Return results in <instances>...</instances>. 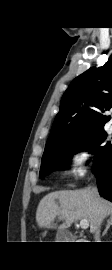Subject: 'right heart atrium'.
<instances>
[{
    "mask_svg": "<svg viewBox=\"0 0 112 270\" xmlns=\"http://www.w3.org/2000/svg\"><path fill=\"white\" fill-rule=\"evenodd\" d=\"M92 154L84 147L73 149L67 156L65 169L67 174L73 179H80L88 171Z\"/></svg>",
    "mask_w": 112,
    "mask_h": 270,
    "instance_id": "d8ad5b80",
    "label": "right heart atrium"
}]
</instances>
